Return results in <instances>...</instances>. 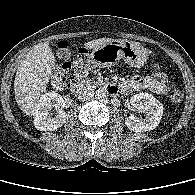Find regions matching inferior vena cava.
I'll return each instance as SVG.
<instances>
[{
	"instance_id": "obj_1",
	"label": "inferior vena cava",
	"mask_w": 195,
	"mask_h": 195,
	"mask_svg": "<svg viewBox=\"0 0 195 195\" xmlns=\"http://www.w3.org/2000/svg\"><path fill=\"white\" fill-rule=\"evenodd\" d=\"M94 94L92 91L87 90V89H83L81 91H79L78 93V99L80 101H87V100H91L93 98Z\"/></svg>"
}]
</instances>
